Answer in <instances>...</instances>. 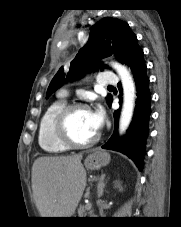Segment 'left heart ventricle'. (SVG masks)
<instances>
[{
	"instance_id": "1",
	"label": "left heart ventricle",
	"mask_w": 181,
	"mask_h": 227,
	"mask_svg": "<svg viewBox=\"0 0 181 227\" xmlns=\"http://www.w3.org/2000/svg\"><path fill=\"white\" fill-rule=\"evenodd\" d=\"M69 131L71 136L78 141L92 138L97 130L93 126L90 111L76 110L73 112L69 119Z\"/></svg>"
}]
</instances>
